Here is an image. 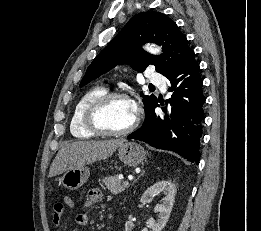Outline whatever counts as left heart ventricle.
<instances>
[{"mask_svg": "<svg viewBox=\"0 0 261 231\" xmlns=\"http://www.w3.org/2000/svg\"><path fill=\"white\" fill-rule=\"evenodd\" d=\"M134 117L135 109L132 102L120 98L113 100L102 110L99 120L104 127L120 131L129 127Z\"/></svg>", "mask_w": 261, "mask_h": 231, "instance_id": "1", "label": "left heart ventricle"}]
</instances>
